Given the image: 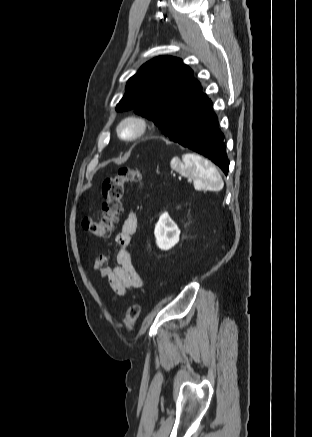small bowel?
<instances>
[{"mask_svg": "<svg viewBox=\"0 0 312 437\" xmlns=\"http://www.w3.org/2000/svg\"><path fill=\"white\" fill-rule=\"evenodd\" d=\"M137 215L131 210L122 225L121 230L116 234L114 242L117 245L116 265L110 266V257L106 253L97 255L93 262L95 272L104 279H107L113 292L123 296L127 291L142 287L143 281L137 272L129 245L133 234L137 229Z\"/></svg>", "mask_w": 312, "mask_h": 437, "instance_id": "small-bowel-1", "label": "small bowel"}]
</instances>
